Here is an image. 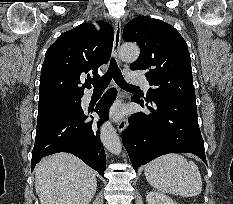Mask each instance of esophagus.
Instances as JSON below:
<instances>
[{"instance_id": "34e87169", "label": "esophagus", "mask_w": 233, "mask_h": 204, "mask_svg": "<svg viewBox=\"0 0 233 204\" xmlns=\"http://www.w3.org/2000/svg\"><path fill=\"white\" fill-rule=\"evenodd\" d=\"M121 35H122V29H121V22L120 20L116 19L114 23V43H113V52L114 56L116 57L119 65L122 66V62L119 56V49L121 44ZM128 125L127 118H121L117 121V129L119 132H122Z\"/></svg>"}]
</instances>
